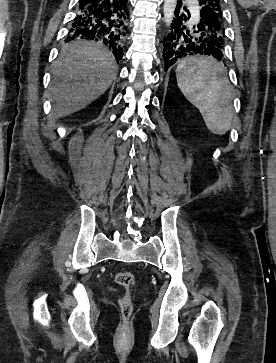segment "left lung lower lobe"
Masks as SVG:
<instances>
[{"label": "left lung lower lobe", "instance_id": "obj_1", "mask_svg": "<svg viewBox=\"0 0 276 363\" xmlns=\"http://www.w3.org/2000/svg\"><path fill=\"white\" fill-rule=\"evenodd\" d=\"M174 14L170 32L164 39V71L176 62L193 55L205 54L218 60L223 59L225 43L220 36L223 25L210 7L202 6L194 23H190L189 10L183 7L182 1L178 0Z\"/></svg>", "mask_w": 276, "mask_h": 363}]
</instances>
